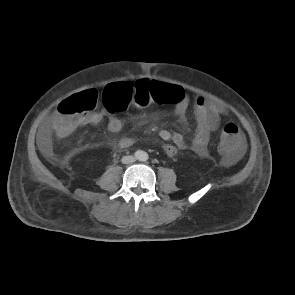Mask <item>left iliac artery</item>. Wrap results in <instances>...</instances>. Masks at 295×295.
Listing matches in <instances>:
<instances>
[{"instance_id": "obj_1", "label": "left iliac artery", "mask_w": 295, "mask_h": 295, "mask_svg": "<svg viewBox=\"0 0 295 295\" xmlns=\"http://www.w3.org/2000/svg\"><path fill=\"white\" fill-rule=\"evenodd\" d=\"M147 157H148V156H147L146 154H144L143 159H147Z\"/></svg>"}]
</instances>
